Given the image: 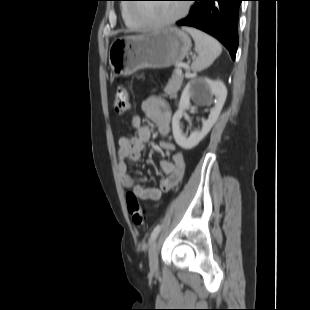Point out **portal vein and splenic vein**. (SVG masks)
<instances>
[{
	"instance_id": "18ae733b",
	"label": "portal vein and splenic vein",
	"mask_w": 310,
	"mask_h": 310,
	"mask_svg": "<svg viewBox=\"0 0 310 310\" xmlns=\"http://www.w3.org/2000/svg\"><path fill=\"white\" fill-rule=\"evenodd\" d=\"M176 73H177L178 75H182V70H181V69H177V70H176ZM186 77H190V75H189V74H186Z\"/></svg>"
}]
</instances>
